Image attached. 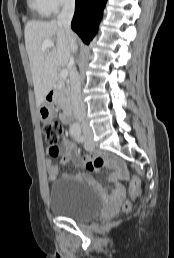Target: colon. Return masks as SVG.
<instances>
[{"label": "colon", "instance_id": "colon-1", "mask_svg": "<svg viewBox=\"0 0 174 258\" xmlns=\"http://www.w3.org/2000/svg\"><path fill=\"white\" fill-rule=\"evenodd\" d=\"M43 136L45 142L50 146L51 155H57V143L60 139L63 128L62 125L58 122H46L43 124L42 127ZM140 180L133 176L130 181V196L127 200L122 203L121 209L125 212L129 211L132 208L134 201L140 194Z\"/></svg>", "mask_w": 174, "mask_h": 258}]
</instances>
